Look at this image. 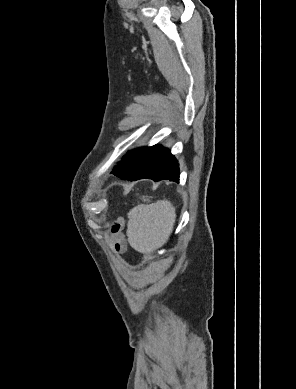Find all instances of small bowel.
I'll use <instances>...</instances> for the list:
<instances>
[{"instance_id":"obj_1","label":"small bowel","mask_w":296,"mask_h":389,"mask_svg":"<svg viewBox=\"0 0 296 389\" xmlns=\"http://www.w3.org/2000/svg\"><path fill=\"white\" fill-rule=\"evenodd\" d=\"M121 227L122 221H115L111 226V234L109 236V241L113 244V247L117 252L123 251L125 247L124 240L121 235Z\"/></svg>"}]
</instances>
